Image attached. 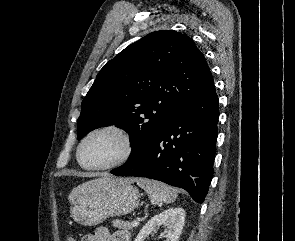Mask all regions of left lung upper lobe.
<instances>
[{
    "label": "left lung upper lobe",
    "instance_id": "1",
    "mask_svg": "<svg viewBox=\"0 0 295 241\" xmlns=\"http://www.w3.org/2000/svg\"><path fill=\"white\" fill-rule=\"evenodd\" d=\"M214 87L204 55L187 35L149 33L107 62L82 102L78 140L115 125L129 133L136 157L176 112Z\"/></svg>",
    "mask_w": 295,
    "mask_h": 241
}]
</instances>
